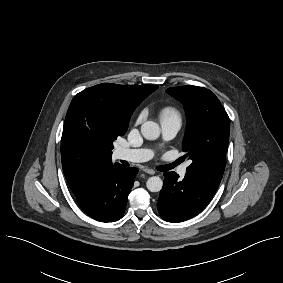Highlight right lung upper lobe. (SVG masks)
<instances>
[{"label": "right lung upper lobe", "mask_w": 283, "mask_h": 283, "mask_svg": "<svg viewBox=\"0 0 283 283\" xmlns=\"http://www.w3.org/2000/svg\"><path fill=\"white\" fill-rule=\"evenodd\" d=\"M158 86L156 85H117L102 83L85 92L104 98L114 99L127 108L134 109ZM62 168L73 193L77 192L91 168L100 162L111 160V155L94 153L82 147L64 125L61 139Z\"/></svg>", "instance_id": "obj_1"}]
</instances>
